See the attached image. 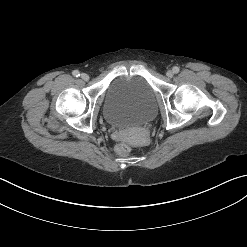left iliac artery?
I'll use <instances>...</instances> for the list:
<instances>
[{
  "mask_svg": "<svg viewBox=\"0 0 247 247\" xmlns=\"http://www.w3.org/2000/svg\"><path fill=\"white\" fill-rule=\"evenodd\" d=\"M179 70H180L179 67H177V66L173 67V72H174V73H178Z\"/></svg>",
  "mask_w": 247,
  "mask_h": 247,
  "instance_id": "obj_1",
  "label": "left iliac artery"
}]
</instances>
